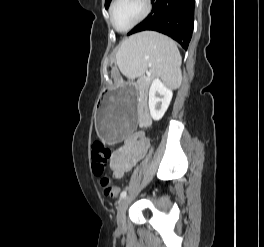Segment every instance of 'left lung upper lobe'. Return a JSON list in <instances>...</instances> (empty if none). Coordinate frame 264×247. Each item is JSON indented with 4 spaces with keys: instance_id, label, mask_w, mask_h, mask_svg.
I'll use <instances>...</instances> for the list:
<instances>
[{
    "instance_id": "5c2ea615",
    "label": "left lung upper lobe",
    "mask_w": 264,
    "mask_h": 247,
    "mask_svg": "<svg viewBox=\"0 0 264 247\" xmlns=\"http://www.w3.org/2000/svg\"><path fill=\"white\" fill-rule=\"evenodd\" d=\"M110 1H111V0H105V8H106V9L109 7Z\"/></svg>"
}]
</instances>
